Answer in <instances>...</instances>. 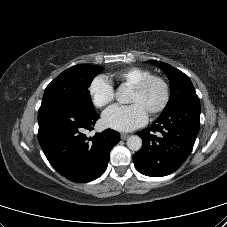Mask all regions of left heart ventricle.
Wrapping results in <instances>:
<instances>
[{"label": "left heart ventricle", "mask_w": 227, "mask_h": 227, "mask_svg": "<svg viewBox=\"0 0 227 227\" xmlns=\"http://www.w3.org/2000/svg\"><path fill=\"white\" fill-rule=\"evenodd\" d=\"M163 98V90L159 83H152L144 92L132 90L130 102L139 103L149 112L151 109L158 106Z\"/></svg>", "instance_id": "left-heart-ventricle-1"}]
</instances>
